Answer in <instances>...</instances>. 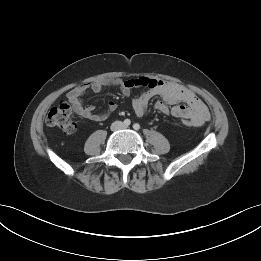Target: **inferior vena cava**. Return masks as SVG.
<instances>
[{
  "label": "inferior vena cava",
  "mask_w": 261,
  "mask_h": 261,
  "mask_svg": "<svg viewBox=\"0 0 261 261\" xmlns=\"http://www.w3.org/2000/svg\"><path fill=\"white\" fill-rule=\"evenodd\" d=\"M121 127H122V123L119 122V121L114 122V123L112 124V129H113V130L120 129Z\"/></svg>",
  "instance_id": "1"
}]
</instances>
